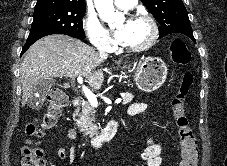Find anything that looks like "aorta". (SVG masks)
<instances>
[{"label":"aorta","mask_w":227,"mask_h":166,"mask_svg":"<svg viewBox=\"0 0 227 166\" xmlns=\"http://www.w3.org/2000/svg\"><path fill=\"white\" fill-rule=\"evenodd\" d=\"M94 3L100 18L108 23L109 26L114 25L116 22L124 21V15L115 11L113 0H94Z\"/></svg>","instance_id":"1"}]
</instances>
